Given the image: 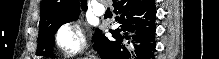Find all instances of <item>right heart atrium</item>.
<instances>
[{"label":"right heart atrium","instance_id":"1","mask_svg":"<svg viewBox=\"0 0 219 59\" xmlns=\"http://www.w3.org/2000/svg\"><path fill=\"white\" fill-rule=\"evenodd\" d=\"M56 48L64 56H73L86 47V39L81 26L76 22H66L54 35Z\"/></svg>","mask_w":219,"mask_h":59}]
</instances>
